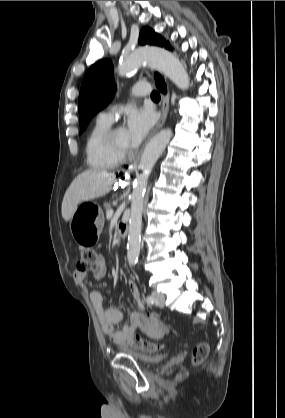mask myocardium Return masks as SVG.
Segmentation results:
<instances>
[{
  "mask_svg": "<svg viewBox=\"0 0 285 418\" xmlns=\"http://www.w3.org/2000/svg\"><path fill=\"white\" fill-rule=\"evenodd\" d=\"M115 130V126L109 125L101 136V143L110 155L122 160L128 156L129 150L127 147L119 148L114 144L113 137Z\"/></svg>",
  "mask_w": 285,
  "mask_h": 418,
  "instance_id": "1",
  "label": "myocardium"
}]
</instances>
